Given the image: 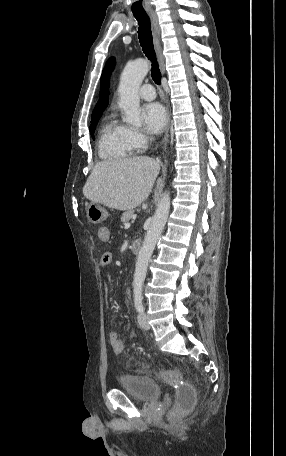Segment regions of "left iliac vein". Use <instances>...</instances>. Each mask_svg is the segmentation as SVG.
<instances>
[{
	"instance_id": "4c4485c4",
	"label": "left iliac vein",
	"mask_w": 286,
	"mask_h": 456,
	"mask_svg": "<svg viewBox=\"0 0 286 456\" xmlns=\"http://www.w3.org/2000/svg\"><path fill=\"white\" fill-rule=\"evenodd\" d=\"M137 319H138L139 325H140L143 329H145V330L150 329V325H149V323H148L147 315H146L144 312H140V313L138 314Z\"/></svg>"
}]
</instances>
